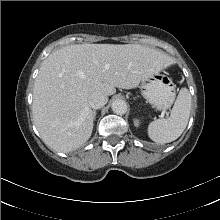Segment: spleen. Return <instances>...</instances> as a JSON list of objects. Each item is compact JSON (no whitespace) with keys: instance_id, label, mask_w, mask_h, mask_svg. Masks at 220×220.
Wrapping results in <instances>:
<instances>
[{"instance_id":"obj_1","label":"spleen","mask_w":220,"mask_h":220,"mask_svg":"<svg viewBox=\"0 0 220 220\" xmlns=\"http://www.w3.org/2000/svg\"><path fill=\"white\" fill-rule=\"evenodd\" d=\"M191 110V95L182 88L177 96L171 114L166 119H157L148 125V136L156 143L164 144L178 139L185 130Z\"/></svg>"}]
</instances>
